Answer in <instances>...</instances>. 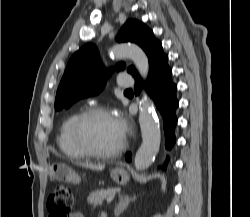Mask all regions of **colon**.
<instances>
[{
	"instance_id": "5ec220e1",
	"label": "colon",
	"mask_w": 250,
	"mask_h": 217,
	"mask_svg": "<svg viewBox=\"0 0 250 217\" xmlns=\"http://www.w3.org/2000/svg\"><path fill=\"white\" fill-rule=\"evenodd\" d=\"M74 205V197L70 187L57 184L47 200L49 217H69Z\"/></svg>"
}]
</instances>
